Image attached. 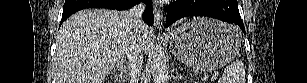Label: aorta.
Segmentation results:
<instances>
[{
	"instance_id": "aorta-1",
	"label": "aorta",
	"mask_w": 307,
	"mask_h": 83,
	"mask_svg": "<svg viewBox=\"0 0 307 83\" xmlns=\"http://www.w3.org/2000/svg\"><path fill=\"white\" fill-rule=\"evenodd\" d=\"M152 77L154 83H164L167 76V62L162 45L159 43L152 56Z\"/></svg>"
}]
</instances>
